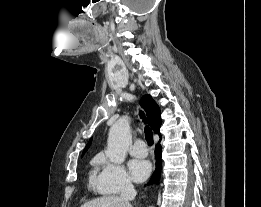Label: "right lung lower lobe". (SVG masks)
Segmentation results:
<instances>
[{"mask_svg": "<svg viewBox=\"0 0 261 207\" xmlns=\"http://www.w3.org/2000/svg\"><path fill=\"white\" fill-rule=\"evenodd\" d=\"M161 152L162 148L160 145V142H158L155 150V158H156V170L152 176V179L150 183H158L160 179V174H161Z\"/></svg>", "mask_w": 261, "mask_h": 207, "instance_id": "1", "label": "right lung lower lobe"}]
</instances>
